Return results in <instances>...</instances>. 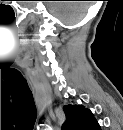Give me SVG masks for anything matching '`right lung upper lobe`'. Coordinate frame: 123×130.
I'll return each instance as SVG.
<instances>
[{
	"label": "right lung upper lobe",
	"instance_id": "cb5924a9",
	"mask_svg": "<svg viewBox=\"0 0 123 130\" xmlns=\"http://www.w3.org/2000/svg\"><path fill=\"white\" fill-rule=\"evenodd\" d=\"M66 121L63 130H99L100 126L93 113L82 105L69 104L63 107Z\"/></svg>",
	"mask_w": 123,
	"mask_h": 130
}]
</instances>
